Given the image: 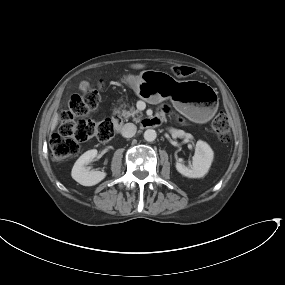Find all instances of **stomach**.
<instances>
[{
    "instance_id": "stomach-1",
    "label": "stomach",
    "mask_w": 285,
    "mask_h": 285,
    "mask_svg": "<svg viewBox=\"0 0 285 285\" xmlns=\"http://www.w3.org/2000/svg\"><path fill=\"white\" fill-rule=\"evenodd\" d=\"M124 81L148 103H152L155 96L170 99L177 111L196 123L209 121L218 108L217 93L201 81H178L157 70H144L138 76L129 74Z\"/></svg>"
}]
</instances>
